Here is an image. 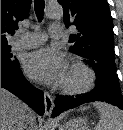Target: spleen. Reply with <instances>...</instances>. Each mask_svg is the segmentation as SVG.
<instances>
[{"mask_svg": "<svg viewBox=\"0 0 123 130\" xmlns=\"http://www.w3.org/2000/svg\"><path fill=\"white\" fill-rule=\"evenodd\" d=\"M93 105L100 114V120L94 130H123V115L118 108L103 102Z\"/></svg>", "mask_w": 123, "mask_h": 130, "instance_id": "obj_1", "label": "spleen"}]
</instances>
